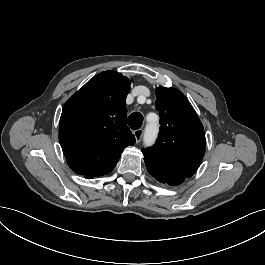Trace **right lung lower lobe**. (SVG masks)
Segmentation results:
<instances>
[{
	"label": "right lung lower lobe",
	"instance_id": "1",
	"mask_svg": "<svg viewBox=\"0 0 265 265\" xmlns=\"http://www.w3.org/2000/svg\"><path fill=\"white\" fill-rule=\"evenodd\" d=\"M86 179H92V178H94V177H92V176H85V175H83Z\"/></svg>",
	"mask_w": 265,
	"mask_h": 265
}]
</instances>
